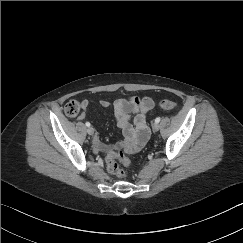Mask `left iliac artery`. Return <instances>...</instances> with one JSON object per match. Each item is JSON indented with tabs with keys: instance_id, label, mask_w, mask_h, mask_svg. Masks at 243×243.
<instances>
[{
	"instance_id": "1",
	"label": "left iliac artery",
	"mask_w": 243,
	"mask_h": 243,
	"mask_svg": "<svg viewBox=\"0 0 243 243\" xmlns=\"http://www.w3.org/2000/svg\"><path fill=\"white\" fill-rule=\"evenodd\" d=\"M160 120H161V118H160V117H157V118L155 119V123H159Z\"/></svg>"
}]
</instances>
